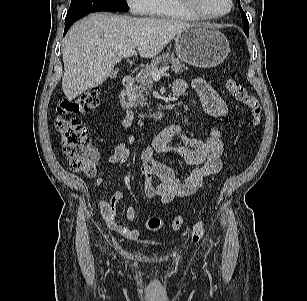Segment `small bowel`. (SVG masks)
<instances>
[{"mask_svg": "<svg viewBox=\"0 0 307 301\" xmlns=\"http://www.w3.org/2000/svg\"><path fill=\"white\" fill-rule=\"evenodd\" d=\"M189 86L197 92L210 116L218 120L228 115L226 102L202 78H196L190 84L184 80H176L173 91L178 90L182 94ZM133 122L134 113L127 112L121 122V129L126 134V139L115 147L108 158L109 164H123L130 158L128 144L132 141L130 128ZM222 150L223 143L218 129H214L212 135L206 141H202L189 136L178 125L166 126L155 135L152 144L141 153L146 198H158L162 204H169L176 198L195 193L204 185L209 176L221 170ZM155 154L180 157L193 168L183 179H179L172 168L156 160ZM100 172L97 185L107 193L109 188L104 185L101 168ZM123 198L121 192H115L109 198L103 199L100 202V212L112 231L134 240L139 237L138 229L125 226L118 220V207ZM135 214V209L129 208L126 212V219L133 220Z\"/></svg>", "mask_w": 307, "mask_h": 301, "instance_id": "obj_1", "label": "small bowel"}]
</instances>
